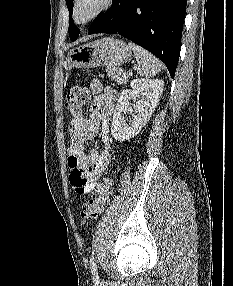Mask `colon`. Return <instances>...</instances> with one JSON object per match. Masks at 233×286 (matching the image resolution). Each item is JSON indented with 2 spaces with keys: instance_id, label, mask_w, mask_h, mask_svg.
<instances>
[{
  "instance_id": "5ec220e1",
  "label": "colon",
  "mask_w": 233,
  "mask_h": 286,
  "mask_svg": "<svg viewBox=\"0 0 233 286\" xmlns=\"http://www.w3.org/2000/svg\"><path fill=\"white\" fill-rule=\"evenodd\" d=\"M90 99L89 90L82 85L71 87L66 96L65 106L74 117L80 116ZM113 188V178L109 176L97 187L92 197L80 207V222L83 227L97 219L107 205Z\"/></svg>"
}]
</instances>
